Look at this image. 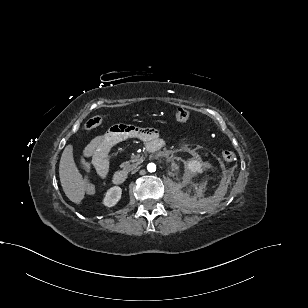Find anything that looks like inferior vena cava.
I'll return each mask as SVG.
<instances>
[{
	"label": "inferior vena cava",
	"instance_id": "602c4592",
	"mask_svg": "<svg viewBox=\"0 0 308 308\" xmlns=\"http://www.w3.org/2000/svg\"><path fill=\"white\" fill-rule=\"evenodd\" d=\"M137 173V170L136 169H133L132 171H131V174L132 175H135Z\"/></svg>",
	"mask_w": 308,
	"mask_h": 308
}]
</instances>
